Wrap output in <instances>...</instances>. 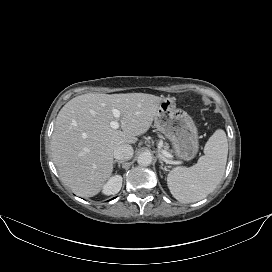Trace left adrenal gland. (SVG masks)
<instances>
[{
    "label": "left adrenal gland",
    "mask_w": 272,
    "mask_h": 272,
    "mask_svg": "<svg viewBox=\"0 0 272 272\" xmlns=\"http://www.w3.org/2000/svg\"><path fill=\"white\" fill-rule=\"evenodd\" d=\"M159 162H160V164H161V169L166 170V168L163 167V161H162L161 159H159Z\"/></svg>",
    "instance_id": "1"
}]
</instances>
